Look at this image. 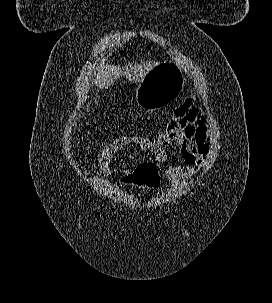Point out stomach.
Returning <instances> with one entry per match:
<instances>
[{"label":"stomach","instance_id":"obj_1","mask_svg":"<svg viewBox=\"0 0 272 303\" xmlns=\"http://www.w3.org/2000/svg\"><path fill=\"white\" fill-rule=\"evenodd\" d=\"M185 79L173 61L154 67L135 89L137 104L146 110L160 109L170 104L183 91Z\"/></svg>","mask_w":272,"mask_h":303}]
</instances>
